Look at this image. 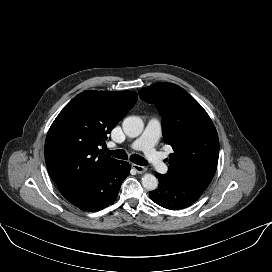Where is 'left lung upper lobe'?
Here are the masks:
<instances>
[{
  "mask_svg": "<svg viewBox=\"0 0 272 272\" xmlns=\"http://www.w3.org/2000/svg\"><path fill=\"white\" fill-rule=\"evenodd\" d=\"M142 100L153 103L162 116V132L174 153L167 175L207 187L217 168L219 139L203 107L183 88L156 83L139 91Z\"/></svg>",
  "mask_w": 272,
  "mask_h": 272,
  "instance_id": "1",
  "label": "left lung upper lobe"
}]
</instances>
